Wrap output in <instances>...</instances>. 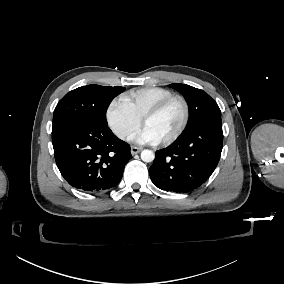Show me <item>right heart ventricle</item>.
Masks as SVG:
<instances>
[{
  "label": "right heart ventricle",
  "instance_id": "right-heart-ventricle-1",
  "mask_svg": "<svg viewBox=\"0 0 284 284\" xmlns=\"http://www.w3.org/2000/svg\"><path fill=\"white\" fill-rule=\"evenodd\" d=\"M172 95H174V93L167 88L145 86L124 93L120 97V102L137 117L142 119L143 115L148 110Z\"/></svg>",
  "mask_w": 284,
  "mask_h": 284
}]
</instances>
